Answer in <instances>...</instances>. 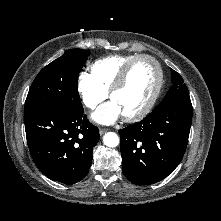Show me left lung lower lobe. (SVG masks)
<instances>
[{
	"mask_svg": "<svg viewBox=\"0 0 221 221\" xmlns=\"http://www.w3.org/2000/svg\"><path fill=\"white\" fill-rule=\"evenodd\" d=\"M167 93L142 121L119 130L122 171L136 185L167 177L180 163L192 121L189 92Z\"/></svg>",
	"mask_w": 221,
	"mask_h": 221,
	"instance_id": "1",
	"label": "left lung lower lobe"
}]
</instances>
